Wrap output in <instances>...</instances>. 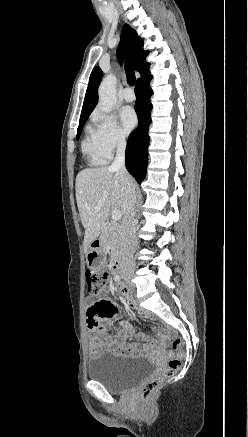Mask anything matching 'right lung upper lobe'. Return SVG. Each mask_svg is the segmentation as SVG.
I'll return each instance as SVG.
<instances>
[{"instance_id": "cb5924a9", "label": "right lung upper lobe", "mask_w": 248, "mask_h": 437, "mask_svg": "<svg viewBox=\"0 0 248 437\" xmlns=\"http://www.w3.org/2000/svg\"><path fill=\"white\" fill-rule=\"evenodd\" d=\"M143 45L144 42L137 35L136 31L128 24H125L122 28L121 40L117 49L118 59L121 62L123 58H126L131 63L132 67L141 74V76L149 71L150 65L145 62L148 51L143 49ZM102 77V70L98 66L95 67L90 75L80 120L89 117L90 113L95 108L98 102V86Z\"/></svg>"}]
</instances>
